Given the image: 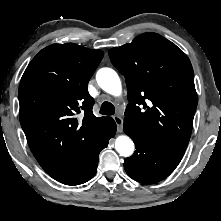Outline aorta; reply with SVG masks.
Masks as SVG:
<instances>
[{
  "mask_svg": "<svg viewBox=\"0 0 221 221\" xmlns=\"http://www.w3.org/2000/svg\"><path fill=\"white\" fill-rule=\"evenodd\" d=\"M96 80L98 85L107 93L119 96L122 91V85L118 74L111 68H102L97 72ZM116 151L124 156L129 157L134 152L133 141L125 135L118 136L115 141Z\"/></svg>",
  "mask_w": 221,
  "mask_h": 221,
  "instance_id": "762f6f07",
  "label": "aorta"
}]
</instances>
